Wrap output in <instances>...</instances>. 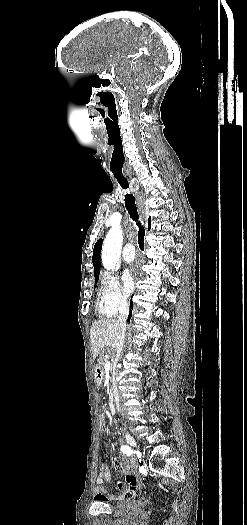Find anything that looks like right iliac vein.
Listing matches in <instances>:
<instances>
[{
	"mask_svg": "<svg viewBox=\"0 0 247 525\" xmlns=\"http://www.w3.org/2000/svg\"><path fill=\"white\" fill-rule=\"evenodd\" d=\"M125 438H126L127 443H128L130 446H132V447H134V448L137 447V443H136V441L134 440V438H133L130 434L125 433Z\"/></svg>",
	"mask_w": 247,
	"mask_h": 525,
	"instance_id": "obj_1",
	"label": "right iliac vein"
}]
</instances>
